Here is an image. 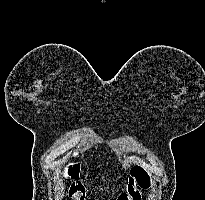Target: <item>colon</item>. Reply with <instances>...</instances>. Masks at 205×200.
Returning a JSON list of instances; mask_svg holds the SVG:
<instances>
[{
	"label": "colon",
	"instance_id": "5ec220e1",
	"mask_svg": "<svg viewBox=\"0 0 205 200\" xmlns=\"http://www.w3.org/2000/svg\"><path fill=\"white\" fill-rule=\"evenodd\" d=\"M80 166L77 162H69L65 166L64 176L70 182L69 198L70 200H85V188L79 180ZM150 186V176L147 171L141 167L133 168L126 191L121 194L117 200H140V191Z\"/></svg>",
	"mask_w": 205,
	"mask_h": 200
}]
</instances>
